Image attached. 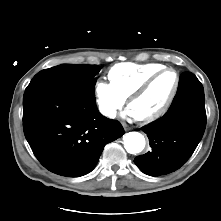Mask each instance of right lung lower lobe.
Masks as SVG:
<instances>
[{"label":"right lung lower lobe","instance_id":"right-lung-lower-lobe-1","mask_svg":"<svg viewBox=\"0 0 221 221\" xmlns=\"http://www.w3.org/2000/svg\"><path fill=\"white\" fill-rule=\"evenodd\" d=\"M23 129L39 162L67 177L88 174L107 143L124 134L116 120L102 116L96 102L52 90L24 93Z\"/></svg>","mask_w":221,"mask_h":221}]
</instances>
